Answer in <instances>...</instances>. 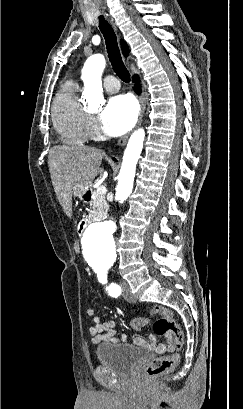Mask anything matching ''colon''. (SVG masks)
Listing matches in <instances>:
<instances>
[{
  "label": "colon",
  "mask_w": 243,
  "mask_h": 409,
  "mask_svg": "<svg viewBox=\"0 0 243 409\" xmlns=\"http://www.w3.org/2000/svg\"><path fill=\"white\" fill-rule=\"evenodd\" d=\"M73 250L76 253L80 251V245L77 240L73 243ZM156 316H159V318L153 324L154 332L168 341H173L175 351L169 355L157 357L147 365L145 372L149 378H155L174 369L179 360L178 352L184 342L183 332L175 321L170 309L160 305L154 306L150 312V317ZM148 323V317H141L132 321V327L141 329Z\"/></svg>",
  "instance_id": "colon-1"
}]
</instances>
